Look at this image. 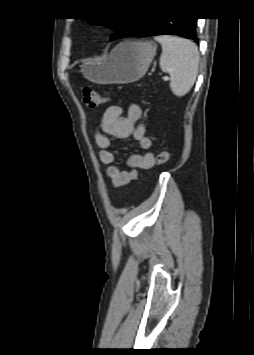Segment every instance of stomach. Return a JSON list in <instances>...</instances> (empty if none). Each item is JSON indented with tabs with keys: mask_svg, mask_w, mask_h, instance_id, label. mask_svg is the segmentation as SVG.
Returning <instances> with one entry per match:
<instances>
[{
	"mask_svg": "<svg viewBox=\"0 0 254 355\" xmlns=\"http://www.w3.org/2000/svg\"><path fill=\"white\" fill-rule=\"evenodd\" d=\"M156 49V44L150 41H124L104 61H84L81 72L95 83H132L145 75Z\"/></svg>",
	"mask_w": 254,
	"mask_h": 355,
	"instance_id": "stomach-1",
	"label": "stomach"
}]
</instances>
